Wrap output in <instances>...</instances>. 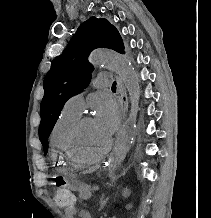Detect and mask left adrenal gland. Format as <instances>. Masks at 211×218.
Masks as SVG:
<instances>
[{
	"label": "left adrenal gland",
	"mask_w": 211,
	"mask_h": 218,
	"mask_svg": "<svg viewBox=\"0 0 211 218\" xmlns=\"http://www.w3.org/2000/svg\"><path fill=\"white\" fill-rule=\"evenodd\" d=\"M100 200H101L100 210H102V208H104V206H105V204H106L108 198H106V200H104V198H100Z\"/></svg>",
	"instance_id": "1"
}]
</instances>
